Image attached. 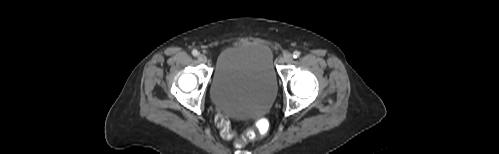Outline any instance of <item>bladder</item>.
<instances>
[{"label": "bladder", "instance_id": "obj_1", "mask_svg": "<svg viewBox=\"0 0 499 154\" xmlns=\"http://www.w3.org/2000/svg\"><path fill=\"white\" fill-rule=\"evenodd\" d=\"M277 93L271 47L262 42L233 44L216 60L210 87L215 106L238 118L264 114Z\"/></svg>", "mask_w": 499, "mask_h": 154}]
</instances>
